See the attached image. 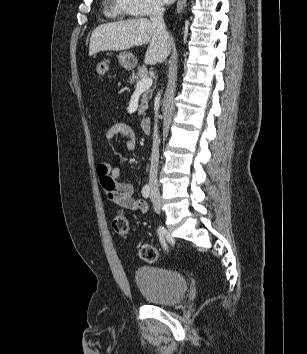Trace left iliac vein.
I'll use <instances>...</instances> for the list:
<instances>
[{"label": "left iliac vein", "mask_w": 307, "mask_h": 354, "mask_svg": "<svg viewBox=\"0 0 307 354\" xmlns=\"http://www.w3.org/2000/svg\"><path fill=\"white\" fill-rule=\"evenodd\" d=\"M152 202H153V207H154V210L156 211V213H160V211H161L160 200L157 198H153Z\"/></svg>", "instance_id": "left-iliac-vein-1"}]
</instances>
